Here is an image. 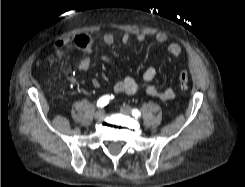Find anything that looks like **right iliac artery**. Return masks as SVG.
Returning <instances> with one entry per match:
<instances>
[{
	"mask_svg": "<svg viewBox=\"0 0 245 187\" xmlns=\"http://www.w3.org/2000/svg\"><path fill=\"white\" fill-rule=\"evenodd\" d=\"M113 98H114L113 95H104V96H102V97L99 98V100L97 101V107L102 108V107L106 106V105L109 103V101H110L111 99H113Z\"/></svg>",
	"mask_w": 245,
	"mask_h": 187,
	"instance_id": "82829eb1",
	"label": "right iliac artery"
}]
</instances>
